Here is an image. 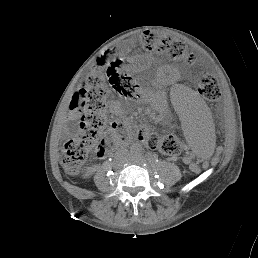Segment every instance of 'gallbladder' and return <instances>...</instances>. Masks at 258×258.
Returning a JSON list of instances; mask_svg holds the SVG:
<instances>
[{"mask_svg": "<svg viewBox=\"0 0 258 258\" xmlns=\"http://www.w3.org/2000/svg\"><path fill=\"white\" fill-rule=\"evenodd\" d=\"M66 130L69 134H74L79 131V126L77 121H69L66 124Z\"/></svg>", "mask_w": 258, "mask_h": 258, "instance_id": "obj_1", "label": "gallbladder"}]
</instances>
